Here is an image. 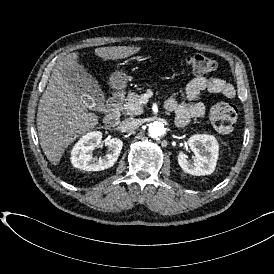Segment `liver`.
I'll use <instances>...</instances> for the list:
<instances>
[{"label": "liver", "instance_id": "6515ba94", "mask_svg": "<svg viewBox=\"0 0 274 274\" xmlns=\"http://www.w3.org/2000/svg\"><path fill=\"white\" fill-rule=\"evenodd\" d=\"M142 48L104 46L94 49L103 60H118L137 54ZM79 74L89 75L79 53L72 52L59 62L41 96L37 112L40 145L52 165L57 166L68 147L82 135L99 128L100 117L89 112L82 97L75 95L73 81ZM73 78V79H72Z\"/></svg>", "mask_w": 274, "mask_h": 274}]
</instances>
